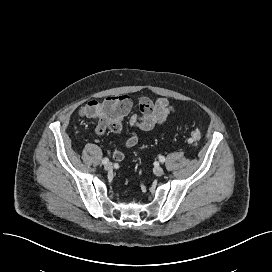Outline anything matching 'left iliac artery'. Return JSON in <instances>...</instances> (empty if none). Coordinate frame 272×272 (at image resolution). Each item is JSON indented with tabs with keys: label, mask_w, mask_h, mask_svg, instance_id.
<instances>
[{
	"label": "left iliac artery",
	"mask_w": 272,
	"mask_h": 272,
	"mask_svg": "<svg viewBox=\"0 0 272 272\" xmlns=\"http://www.w3.org/2000/svg\"><path fill=\"white\" fill-rule=\"evenodd\" d=\"M159 160H160V162L163 163V162H165V157H164V156H160V157H159Z\"/></svg>",
	"instance_id": "left-iliac-artery-1"
}]
</instances>
